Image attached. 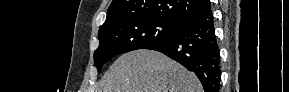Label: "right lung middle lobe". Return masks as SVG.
I'll return each instance as SVG.
<instances>
[{
    "label": "right lung middle lobe",
    "instance_id": "dd1d6c3e",
    "mask_svg": "<svg viewBox=\"0 0 289 92\" xmlns=\"http://www.w3.org/2000/svg\"><path fill=\"white\" fill-rule=\"evenodd\" d=\"M181 23L158 17L123 20L99 30V47L94 62L101 71L105 62L116 55L165 41L176 34Z\"/></svg>",
    "mask_w": 289,
    "mask_h": 92
}]
</instances>
